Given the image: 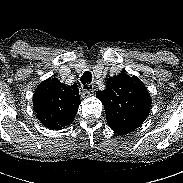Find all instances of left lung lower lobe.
I'll use <instances>...</instances> for the list:
<instances>
[{
    "label": "left lung lower lobe",
    "mask_w": 183,
    "mask_h": 183,
    "mask_svg": "<svg viewBox=\"0 0 183 183\" xmlns=\"http://www.w3.org/2000/svg\"><path fill=\"white\" fill-rule=\"evenodd\" d=\"M109 126L114 132L118 134H128L134 130L132 128H125V127L114 126V125H109Z\"/></svg>",
    "instance_id": "1"
}]
</instances>
